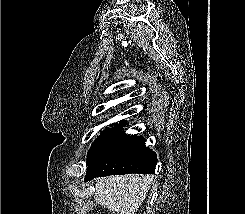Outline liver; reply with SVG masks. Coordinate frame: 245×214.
Segmentation results:
<instances>
[{"label":"liver","instance_id":"1","mask_svg":"<svg viewBox=\"0 0 245 214\" xmlns=\"http://www.w3.org/2000/svg\"><path fill=\"white\" fill-rule=\"evenodd\" d=\"M153 178L146 175H119L96 180L94 200L112 214H136Z\"/></svg>","mask_w":245,"mask_h":214}]
</instances>
